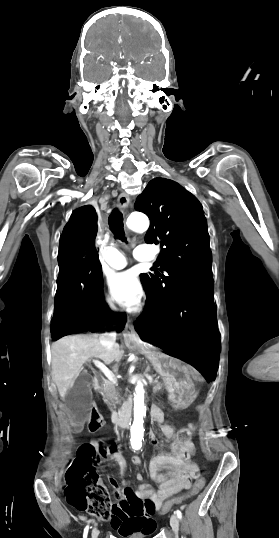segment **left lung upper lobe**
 <instances>
[{"instance_id": "1", "label": "left lung upper lobe", "mask_w": 279, "mask_h": 538, "mask_svg": "<svg viewBox=\"0 0 279 538\" xmlns=\"http://www.w3.org/2000/svg\"><path fill=\"white\" fill-rule=\"evenodd\" d=\"M135 209L151 222L145 241L160 244L158 270L140 274L147 295L143 315L161 312L177 294L198 282L212 280V253L207 222L199 201L178 183L151 180L137 197Z\"/></svg>"}]
</instances>
